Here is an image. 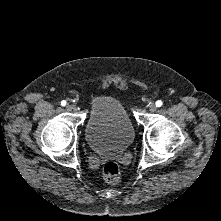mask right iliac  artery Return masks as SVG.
Here are the masks:
<instances>
[{
	"mask_svg": "<svg viewBox=\"0 0 221 221\" xmlns=\"http://www.w3.org/2000/svg\"><path fill=\"white\" fill-rule=\"evenodd\" d=\"M61 105H62V106H65V105H66V101L63 100V101L61 102Z\"/></svg>",
	"mask_w": 221,
	"mask_h": 221,
	"instance_id": "obj_1",
	"label": "right iliac artery"
}]
</instances>
